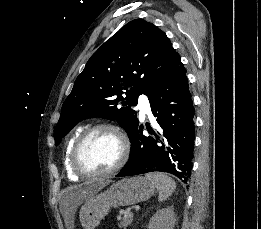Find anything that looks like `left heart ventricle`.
Instances as JSON below:
<instances>
[{
	"instance_id": "1",
	"label": "left heart ventricle",
	"mask_w": 261,
	"mask_h": 229,
	"mask_svg": "<svg viewBox=\"0 0 261 229\" xmlns=\"http://www.w3.org/2000/svg\"><path fill=\"white\" fill-rule=\"evenodd\" d=\"M121 153L117 136L109 131L93 134L80 152V161L84 167L93 171H105L113 167Z\"/></svg>"
}]
</instances>
